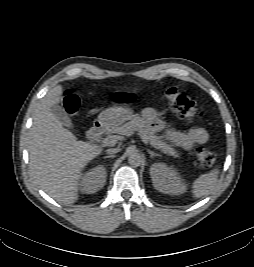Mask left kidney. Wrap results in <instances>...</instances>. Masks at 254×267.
Here are the masks:
<instances>
[{
  "label": "left kidney",
  "mask_w": 254,
  "mask_h": 267,
  "mask_svg": "<svg viewBox=\"0 0 254 267\" xmlns=\"http://www.w3.org/2000/svg\"><path fill=\"white\" fill-rule=\"evenodd\" d=\"M153 186L159 192L180 195L186 192V186L179 173L164 163H154L150 167Z\"/></svg>",
  "instance_id": "left-kidney-1"
}]
</instances>
